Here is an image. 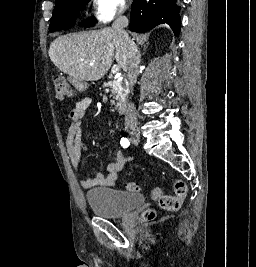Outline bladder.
Listing matches in <instances>:
<instances>
[{"instance_id": "31cf9c89", "label": "bladder", "mask_w": 256, "mask_h": 267, "mask_svg": "<svg viewBox=\"0 0 256 267\" xmlns=\"http://www.w3.org/2000/svg\"><path fill=\"white\" fill-rule=\"evenodd\" d=\"M85 199L96 216L118 218L142 205L144 196L126 195L121 190L101 188L89 191Z\"/></svg>"}]
</instances>
